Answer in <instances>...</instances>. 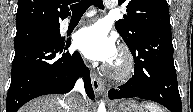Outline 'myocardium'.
I'll list each match as a JSON object with an SVG mask.
<instances>
[{
  "label": "myocardium",
  "instance_id": "myocardium-1",
  "mask_svg": "<svg viewBox=\"0 0 193 112\" xmlns=\"http://www.w3.org/2000/svg\"><path fill=\"white\" fill-rule=\"evenodd\" d=\"M117 56L119 58V65L114 66L112 62L106 67L105 72L107 76L116 81L124 82L128 80L134 71V59L132 53L125 45L120 46Z\"/></svg>",
  "mask_w": 193,
  "mask_h": 112
}]
</instances>
